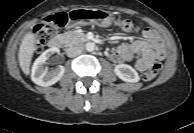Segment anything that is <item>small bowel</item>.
<instances>
[{
	"instance_id": "1",
	"label": "small bowel",
	"mask_w": 194,
	"mask_h": 133,
	"mask_svg": "<svg viewBox=\"0 0 194 133\" xmlns=\"http://www.w3.org/2000/svg\"><path fill=\"white\" fill-rule=\"evenodd\" d=\"M142 34L144 39L120 44L109 53V57L114 62L123 63L132 61L134 56L138 55L134 67L139 72H144L156 61L163 60L165 47L158 33L146 28Z\"/></svg>"
}]
</instances>
